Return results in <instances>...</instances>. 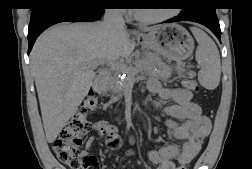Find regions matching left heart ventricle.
<instances>
[{"label": "left heart ventricle", "instance_id": "1", "mask_svg": "<svg viewBox=\"0 0 252 169\" xmlns=\"http://www.w3.org/2000/svg\"><path fill=\"white\" fill-rule=\"evenodd\" d=\"M161 12L164 11H158V9H139L137 10V13L141 16H146V17H152L160 14Z\"/></svg>", "mask_w": 252, "mask_h": 169}]
</instances>
